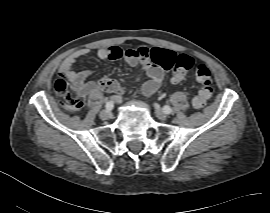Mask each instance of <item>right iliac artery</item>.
<instances>
[{"label": "right iliac artery", "mask_w": 270, "mask_h": 213, "mask_svg": "<svg viewBox=\"0 0 270 213\" xmlns=\"http://www.w3.org/2000/svg\"><path fill=\"white\" fill-rule=\"evenodd\" d=\"M106 109L108 110H112L114 105H113V102L112 101H108L105 105Z\"/></svg>", "instance_id": "82829eb1"}]
</instances>
